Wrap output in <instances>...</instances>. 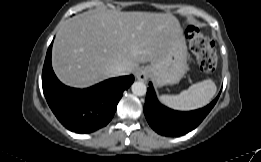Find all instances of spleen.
I'll return each instance as SVG.
<instances>
[{"mask_svg": "<svg viewBox=\"0 0 261 162\" xmlns=\"http://www.w3.org/2000/svg\"><path fill=\"white\" fill-rule=\"evenodd\" d=\"M216 85L211 79L191 85L178 95H161L159 100L166 106L189 111L207 105L216 94Z\"/></svg>", "mask_w": 261, "mask_h": 162, "instance_id": "3e777b00", "label": "spleen"}]
</instances>
